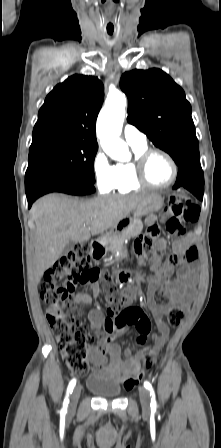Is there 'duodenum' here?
Returning <instances> with one entry per match:
<instances>
[{
    "label": "duodenum",
    "mask_w": 221,
    "mask_h": 448,
    "mask_svg": "<svg viewBox=\"0 0 221 448\" xmlns=\"http://www.w3.org/2000/svg\"><path fill=\"white\" fill-rule=\"evenodd\" d=\"M106 245H107V240L105 238L100 237V238L94 240L90 247L91 257L94 259L103 258L106 254ZM128 278H129V275L126 273H121L119 275L120 281H126Z\"/></svg>",
    "instance_id": "obj_1"
}]
</instances>
